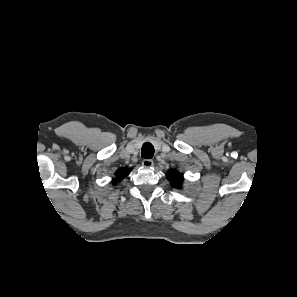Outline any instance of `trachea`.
<instances>
[{
    "instance_id": "obj_1",
    "label": "trachea",
    "mask_w": 297,
    "mask_h": 297,
    "mask_svg": "<svg viewBox=\"0 0 297 297\" xmlns=\"http://www.w3.org/2000/svg\"><path fill=\"white\" fill-rule=\"evenodd\" d=\"M141 155L143 158H152L154 155V147L151 143H144L142 146Z\"/></svg>"
}]
</instances>
